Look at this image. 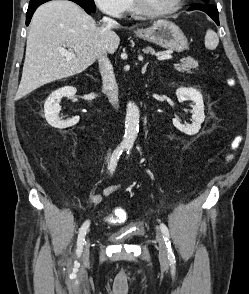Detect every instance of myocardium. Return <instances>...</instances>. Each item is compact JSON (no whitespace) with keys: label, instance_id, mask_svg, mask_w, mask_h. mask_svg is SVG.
I'll use <instances>...</instances> for the list:
<instances>
[{"label":"myocardium","instance_id":"myocardium-1","mask_svg":"<svg viewBox=\"0 0 249 294\" xmlns=\"http://www.w3.org/2000/svg\"><path fill=\"white\" fill-rule=\"evenodd\" d=\"M185 1L186 0H177V2L171 8L166 10H160V11L152 10L148 8L145 5L144 0H133V3L138 13L148 17L156 18V17H163V16H167V15L175 13L183 6Z\"/></svg>","mask_w":249,"mask_h":294}]
</instances>
